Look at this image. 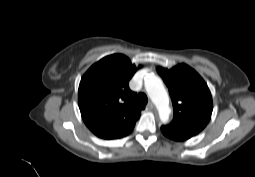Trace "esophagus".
<instances>
[{
    "label": "esophagus",
    "mask_w": 255,
    "mask_h": 177,
    "mask_svg": "<svg viewBox=\"0 0 255 177\" xmlns=\"http://www.w3.org/2000/svg\"><path fill=\"white\" fill-rule=\"evenodd\" d=\"M147 109H148V110H153V109H154V104H153V102H149V103H148Z\"/></svg>",
    "instance_id": "esophagus-1"
}]
</instances>
